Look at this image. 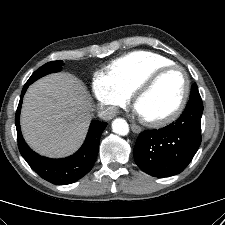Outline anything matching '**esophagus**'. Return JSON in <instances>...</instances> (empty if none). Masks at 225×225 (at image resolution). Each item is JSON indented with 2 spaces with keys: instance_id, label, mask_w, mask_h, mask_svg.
<instances>
[{
  "instance_id": "obj_1",
  "label": "esophagus",
  "mask_w": 225,
  "mask_h": 225,
  "mask_svg": "<svg viewBox=\"0 0 225 225\" xmlns=\"http://www.w3.org/2000/svg\"><path fill=\"white\" fill-rule=\"evenodd\" d=\"M131 129L134 133H140L141 132V128L136 124H131Z\"/></svg>"
}]
</instances>
